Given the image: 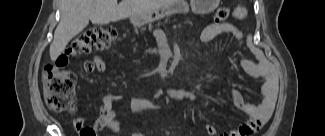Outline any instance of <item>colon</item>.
Segmentation results:
<instances>
[{
	"label": "colon",
	"mask_w": 325,
	"mask_h": 136,
	"mask_svg": "<svg viewBox=\"0 0 325 136\" xmlns=\"http://www.w3.org/2000/svg\"><path fill=\"white\" fill-rule=\"evenodd\" d=\"M228 7H220L214 15L212 24H221L229 16ZM116 37L112 28L96 27L79 35L72 43V49L77 55H86L92 52L109 48ZM74 85L66 81L55 65H48L43 69V91L49 109L55 113L66 111L70 107L71 94ZM80 136H97L91 127L80 130Z\"/></svg>",
	"instance_id": "colon-1"
}]
</instances>
